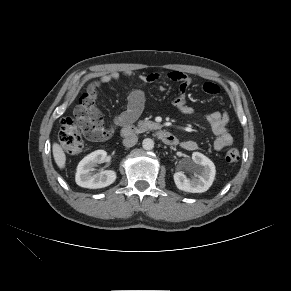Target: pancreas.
I'll return each mask as SVG.
<instances>
[{
    "label": "pancreas",
    "mask_w": 291,
    "mask_h": 291,
    "mask_svg": "<svg viewBox=\"0 0 291 291\" xmlns=\"http://www.w3.org/2000/svg\"><path fill=\"white\" fill-rule=\"evenodd\" d=\"M155 123L151 121H139L138 122V128L136 129V132H142L147 130L150 127H153Z\"/></svg>",
    "instance_id": "obj_1"
}]
</instances>
